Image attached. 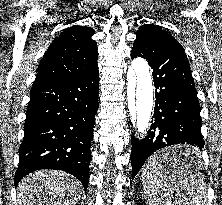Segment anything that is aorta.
I'll list each match as a JSON object with an SVG mask.
<instances>
[{
    "mask_svg": "<svg viewBox=\"0 0 222 205\" xmlns=\"http://www.w3.org/2000/svg\"><path fill=\"white\" fill-rule=\"evenodd\" d=\"M127 102L130 122L138 138L149 129L153 109V85L148 63L142 58L132 61L127 72Z\"/></svg>",
    "mask_w": 222,
    "mask_h": 205,
    "instance_id": "aorta-1",
    "label": "aorta"
}]
</instances>
